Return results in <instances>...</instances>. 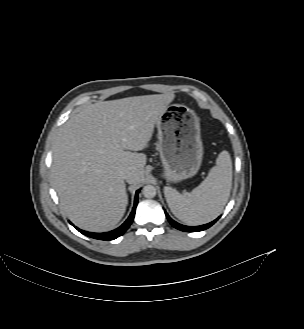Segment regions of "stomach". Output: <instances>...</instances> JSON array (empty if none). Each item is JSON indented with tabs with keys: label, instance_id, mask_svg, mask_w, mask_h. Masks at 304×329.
Wrapping results in <instances>:
<instances>
[{
	"label": "stomach",
	"instance_id": "stomach-1",
	"mask_svg": "<svg viewBox=\"0 0 304 329\" xmlns=\"http://www.w3.org/2000/svg\"><path fill=\"white\" fill-rule=\"evenodd\" d=\"M162 176L172 183L194 176L200 169L203 144L196 113L182 104H171L157 121Z\"/></svg>",
	"mask_w": 304,
	"mask_h": 329
}]
</instances>
